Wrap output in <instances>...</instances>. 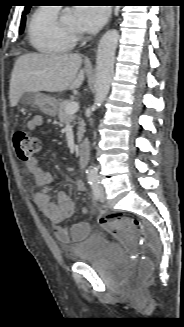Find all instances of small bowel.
Here are the masks:
<instances>
[{"label":"small bowel","mask_w":184,"mask_h":327,"mask_svg":"<svg viewBox=\"0 0 184 327\" xmlns=\"http://www.w3.org/2000/svg\"><path fill=\"white\" fill-rule=\"evenodd\" d=\"M42 123L43 117L35 115L27 122L26 127L30 131H35ZM26 167L39 188L33 194V201L41 212L55 225L56 237L63 242L77 241L85 238L90 231V224L88 222H77L71 226L60 225L63 221L73 216L75 212L74 201L65 192H59L56 200H51L50 185L53 180L52 175L39 165L36 158L27 161ZM77 189L83 191L84 184L78 183Z\"/></svg>","instance_id":"1"}]
</instances>
